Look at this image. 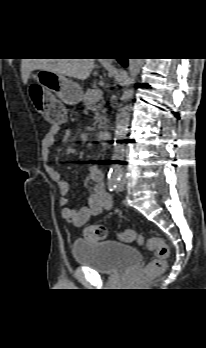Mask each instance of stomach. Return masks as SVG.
<instances>
[{
  "mask_svg": "<svg viewBox=\"0 0 206 348\" xmlns=\"http://www.w3.org/2000/svg\"><path fill=\"white\" fill-rule=\"evenodd\" d=\"M37 86L42 89L44 93H54L58 98L67 104H77L82 100V87L64 75L55 72L39 69L34 75Z\"/></svg>",
  "mask_w": 206,
  "mask_h": 348,
  "instance_id": "stomach-1",
  "label": "stomach"
}]
</instances>
